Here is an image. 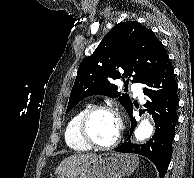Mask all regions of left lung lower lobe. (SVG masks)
I'll return each instance as SVG.
<instances>
[{"label":"left lung lower lobe","mask_w":194,"mask_h":178,"mask_svg":"<svg viewBox=\"0 0 194 178\" xmlns=\"http://www.w3.org/2000/svg\"><path fill=\"white\" fill-rule=\"evenodd\" d=\"M143 92L149 98L145 107L150 109L155 121L154 136L143 145L132 144L130 136L114 151L122 153H136L150 159L159 171L160 178L166 174L172 156V142L175 136V124L178 120L177 82L169 56L162 66L149 78L142 82ZM131 119L133 132L136 121L132 115L133 105L127 110Z\"/></svg>","instance_id":"obj_1"}]
</instances>
